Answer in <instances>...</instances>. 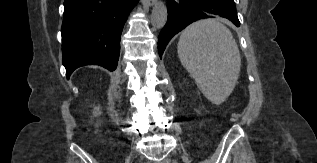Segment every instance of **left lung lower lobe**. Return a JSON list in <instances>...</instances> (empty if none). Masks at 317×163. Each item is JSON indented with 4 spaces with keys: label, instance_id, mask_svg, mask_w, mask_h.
<instances>
[{
    "label": "left lung lower lobe",
    "instance_id": "0a47b994",
    "mask_svg": "<svg viewBox=\"0 0 317 163\" xmlns=\"http://www.w3.org/2000/svg\"><path fill=\"white\" fill-rule=\"evenodd\" d=\"M167 23L159 34L160 58L171 38L199 19L224 17L240 26L233 0H168Z\"/></svg>",
    "mask_w": 317,
    "mask_h": 163
}]
</instances>
